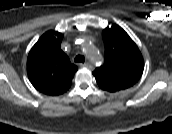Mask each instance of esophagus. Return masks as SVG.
Returning <instances> with one entry per match:
<instances>
[{
	"instance_id": "obj_1",
	"label": "esophagus",
	"mask_w": 172,
	"mask_h": 134,
	"mask_svg": "<svg viewBox=\"0 0 172 134\" xmlns=\"http://www.w3.org/2000/svg\"><path fill=\"white\" fill-rule=\"evenodd\" d=\"M81 67H86V68H89V69H92L93 68V65L89 62L87 63H84V64H80Z\"/></svg>"
}]
</instances>
